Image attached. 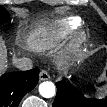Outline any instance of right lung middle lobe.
Segmentation results:
<instances>
[{
  "label": "right lung middle lobe",
  "instance_id": "obj_1",
  "mask_svg": "<svg viewBox=\"0 0 107 107\" xmlns=\"http://www.w3.org/2000/svg\"><path fill=\"white\" fill-rule=\"evenodd\" d=\"M9 18L8 12L6 11L5 8H0V24H3L6 22Z\"/></svg>",
  "mask_w": 107,
  "mask_h": 107
}]
</instances>
